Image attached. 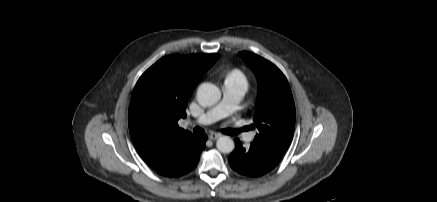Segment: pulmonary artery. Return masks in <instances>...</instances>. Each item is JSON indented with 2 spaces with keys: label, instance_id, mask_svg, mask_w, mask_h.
I'll use <instances>...</instances> for the list:
<instances>
[{
  "label": "pulmonary artery",
  "instance_id": "obj_1",
  "mask_svg": "<svg viewBox=\"0 0 437 202\" xmlns=\"http://www.w3.org/2000/svg\"><path fill=\"white\" fill-rule=\"evenodd\" d=\"M245 91L246 82L244 80L226 79L222 88L223 96L221 101L197 118L195 123L208 125L232 115L237 109V105ZM233 129L239 130L237 127H234ZM239 134H243L245 141H251L254 137L253 133H244V131H240Z\"/></svg>",
  "mask_w": 437,
  "mask_h": 202
}]
</instances>
